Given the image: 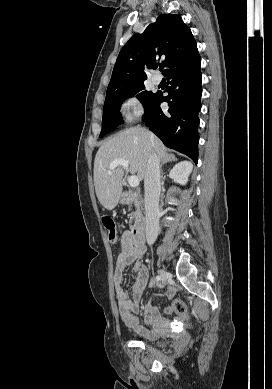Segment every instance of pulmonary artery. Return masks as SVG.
I'll use <instances>...</instances> for the list:
<instances>
[{
    "label": "pulmonary artery",
    "mask_w": 272,
    "mask_h": 389,
    "mask_svg": "<svg viewBox=\"0 0 272 389\" xmlns=\"http://www.w3.org/2000/svg\"><path fill=\"white\" fill-rule=\"evenodd\" d=\"M161 80H162V78H161V76L158 75V74H154V75L152 76V81H153V83L156 84V85H158V84L161 82Z\"/></svg>",
    "instance_id": "e3ab8cb5"
}]
</instances>
